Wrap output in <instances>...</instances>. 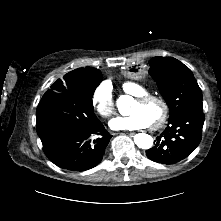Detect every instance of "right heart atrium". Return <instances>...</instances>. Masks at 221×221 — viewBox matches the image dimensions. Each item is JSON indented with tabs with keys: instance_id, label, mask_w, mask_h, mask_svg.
Returning a JSON list of instances; mask_svg holds the SVG:
<instances>
[{
	"instance_id": "right-heart-atrium-1",
	"label": "right heart atrium",
	"mask_w": 221,
	"mask_h": 221,
	"mask_svg": "<svg viewBox=\"0 0 221 221\" xmlns=\"http://www.w3.org/2000/svg\"><path fill=\"white\" fill-rule=\"evenodd\" d=\"M92 105L97 113L105 119L115 114V102L110 84L102 82L95 88L92 94Z\"/></svg>"
}]
</instances>
